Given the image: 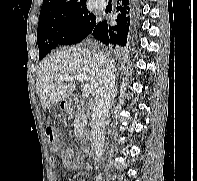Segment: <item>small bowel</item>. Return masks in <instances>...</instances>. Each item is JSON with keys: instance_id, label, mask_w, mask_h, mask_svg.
<instances>
[{"instance_id": "c3829d8e", "label": "small bowel", "mask_w": 197, "mask_h": 181, "mask_svg": "<svg viewBox=\"0 0 197 181\" xmlns=\"http://www.w3.org/2000/svg\"><path fill=\"white\" fill-rule=\"evenodd\" d=\"M61 157L63 161L64 168L66 170H74L79 167L81 164V158L76 156L72 149L65 148L61 152ZM50 163L52 166H55L56 159L55 157H52L50 159Z\"/></svg>"}]
</instances>
